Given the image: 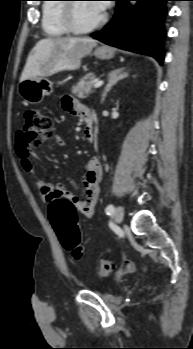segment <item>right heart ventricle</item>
I'll list each match as a JSON object with an SVG mask.
<instances>
[{"label": "right heart ventricle", "mask_w": 193, "mask_h": 349, "mask_svg": "<svg viewBox=\"0 0 193 349\" xmlns=\"http://www.w3.org/2000/svg\"><path fill=\"white\" fill-rule=\"evenodd\" d=\"M63 0H47L42 8L41 26L47 38H61L68 35L62 22Z\"/></svg>", "instance_id": "obj_1"}]
</instances>
